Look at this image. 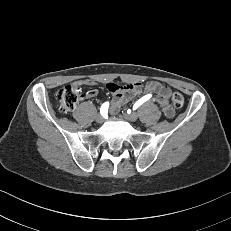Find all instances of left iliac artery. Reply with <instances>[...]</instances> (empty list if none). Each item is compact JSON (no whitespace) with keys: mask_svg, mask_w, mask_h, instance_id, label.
I'll return each mask as SVG.
<instances>
[{"mask_svg":"<svg viewBox=\"0 0 231 231\" xmlns=\"http://www.w3.org/2000/svg\"><path fill=\"white\" fill-rule=\"evenodd\" d=\"M152 97V94H147L143 96L141 99H139L133 106L134 109H137L140 105H142L144 102L148 101Z\"/></svg>","mask_w":231,"mask_h":231,"instance_id":"obj_1","label":"left iliac artery"}]
</instances>
